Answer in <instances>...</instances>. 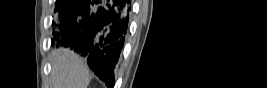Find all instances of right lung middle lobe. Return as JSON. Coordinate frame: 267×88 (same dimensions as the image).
<instances>
[{"mask_svg":"<svg viewBox=\"0 0 267 88\" xmlns=\"http://www.w3.org/2000/svg\"><path fill=\"white\" fill-rule=\"evenodd\" d=\"M68 2L69 0H57L55 11H60L62 8H64L67 5Z\"/></svg>","mask_w":267,"mask_h":88,"instance_id":"right-lung-middle-lobe-1","label":"right lung middle lobe"}]
</instances>
